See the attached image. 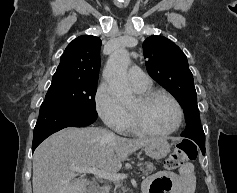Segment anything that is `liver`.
<instances>
[{"mask_svg":"<svg viewBox=\"0 0 237 193\" xmlns=\"http://www.w3.org/2000/svg\"><path fill=\"white\" fill-rule=\"evenodd\" d=\"M154 138L110 136L97 127L66 128L42 142L33 155V193H85L89 181L74 168L116 173L130 154Z\"/></svg>","mask_w":237,"mask_h":193,"instance_id":"obj_1","label":"liver"}]
</instances>
